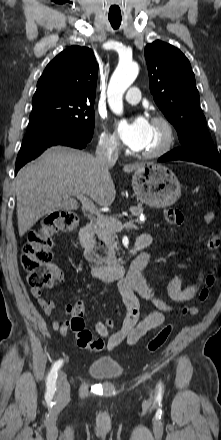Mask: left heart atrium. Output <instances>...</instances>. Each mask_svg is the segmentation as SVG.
Returning a JSON list of instances; mask_svg holds the SVG:
<instances>
[{
	"label": "left heart atrium",
	"instance_id": "1",
	"mask_svg": "<svg viewBox=\"0 0 221 440\" xmlns=\"http://www.w3.org/2000/svg\"><path fill=\"white\" fill-rule=\"evenodd\" d=\"M117 128L123 142L131 149L142 150L146 146L150 122L145 117L138 116L133 120H120Z\"/></svg>",
	"mask_w": 221,
	"mask_h": 440
}]
</instances>
